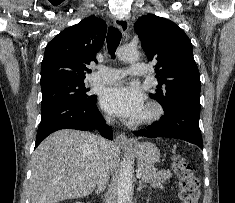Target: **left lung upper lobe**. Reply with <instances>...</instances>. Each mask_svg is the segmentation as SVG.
I'll use <instances>...</instances> for the list:
<instances>
[{
	"label": "left lung upper lobe",
	"mask_w": 235,
	"mask_h": 203,
	"mask_svg": "<svg viewBox=\"0 0 235 203\" xmlns=\"http://www.w3.org/2000/svg\"><path fill=\"white\" fill-rule=\"evenodd\" d=\"M135 31L148 60H157L155 72L159 84L150 97L164 110L181 101L200 104V75L185 32L174 22L153 14L140 17Z\"/></svg>",
	"instance_id": "left-lung-upper-lobe-1"
}]
</instances>
